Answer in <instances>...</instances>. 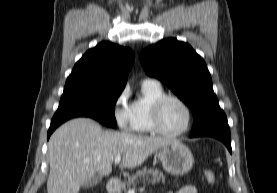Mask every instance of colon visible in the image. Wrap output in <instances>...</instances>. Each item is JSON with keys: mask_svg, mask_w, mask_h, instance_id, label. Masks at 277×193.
Listing matches in <instances>:
<instances>
[{"mask_svg": "<svg viewBox=\"0 0 277 193\" xmlns=\"http://www.w3.org/2000/svg\"><path fill=\"white\" fill-rule=\"evenodd\" d=\"M204 177H205L206 182L210 185H212L216 182V175H215L214 171H212L210 169L204 170Z\"/></svg>", "mask_w": 277, "mask_h": 193, "instance_id": "colon-1", "label": "colon"}]
</instances>
